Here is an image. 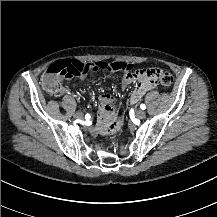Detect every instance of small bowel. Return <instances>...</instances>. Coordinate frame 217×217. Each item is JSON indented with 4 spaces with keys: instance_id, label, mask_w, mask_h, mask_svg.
<instances>
[{
    "instance_id": "obj_1",
    "label": "small bowel",
    "mask_w": 217,
    "mask_h": 217,
    "mask_svg": "<svg viewBox=\"0 0 217 217\" xmlns=\"http://www.w3.org/2000/svg\"><path fill=\"white\" fill-rule=\"evenodd\" d=\"M130 64V63H127ZM131 65V64H130ZM132 69V68H131ZM131 69L122 70L124 75L121 80L122 91L126 90L131 84L135 83L138 79L135 73L131 72ZM82 83L85 82V77H80ZM65 92H69V89L64 88ZM152 93V87L149 84L140 85L139 84L131 92L128 102L129 104L135 105L139 102L142 96H149ZM114 99L110 94L103 93L96 96L95 110L96 128H91L90 132L92 135H97L98 132L103 133L106 136H117L123 130V119L116 113V110L111 104Z\"/></svg>"
}]
</instances>
